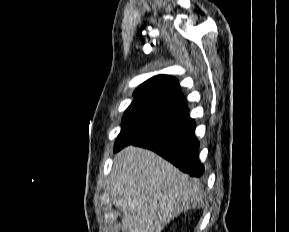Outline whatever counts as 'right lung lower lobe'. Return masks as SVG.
<instances>
[{"label": "right lung lower lobe", "instance_id": "1", "mask_svg": "<svg viewBox=\"0 0 289 232\" xmlns=\"http://www.w3.org/2000/svg\"><path fill=\"white\" fill-rule=\"evenodd\" d=\"M194 131V120L189 118L188 114H183L179 119L149 133L133 144L149 148L183 172L200 177L204 167L198 158L199 141L195 138Z\"/></svg>", "mask_w": 289, "mask_h": 232}]
</instances>
